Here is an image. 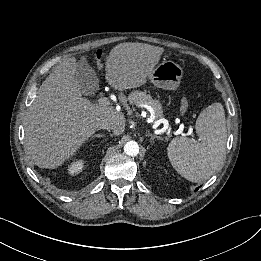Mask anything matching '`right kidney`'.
I'll list each match as a JSON object with an SVG mask.
<instances>
[{"mask_svg":"<svg viewBox=\"0 0 261 261\" xmlns=\"http://www.w3.org/2000/svg\"><path fill=\"white\" fill-rule=\"evenodd\" d=\"M84 168V160H76L73 161L70 165H68L67 170L70 175L78 174L82 172Z\"/></svg>","mask_w":261,"mask_h":261,"instance_id":"ca27d5eb","label":"right kidney"}]
</instances>
